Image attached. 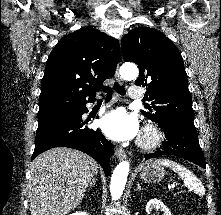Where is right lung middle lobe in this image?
Wrapping results in <instances>:
<instances>
[{"mask_svg":"<svg viewBox=\"0 0 221 215\" xmlns=\"http://www.w3.org/2000/svg\"><path fill=\"white\" fill-rule=\"evenodd\" d=\"M68 114H69V113H68ZM64 115H67V114H64ZM60 116H62V115H60ZM56 117H58V116H56ZM49 118H53V117H47V118H39V117H38V121H42V120L49 119Z\"/></svg>","mask_w":221,"mask_h":215,"instance_id":"right-lung-middle-lobe-1","label":"right lung middle lobe"}]
</instances>
